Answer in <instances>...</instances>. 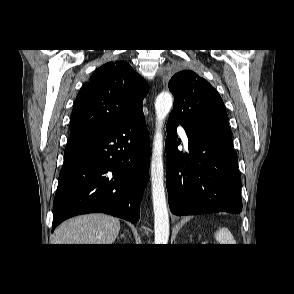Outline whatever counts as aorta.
I'll use <instances>...</instances> for the list:
<instances>
[{"label": "aorta", "instance_id": "obj_1", "mask_svg": "<svg viewBox=\"0 0 294 294\" xmlns=\"http://www.w3.org/2000/svg\"><path fill=\"white\" fill-rule=\"evenodd\" d=\"M173 105L172 95L168 92L160 93L155 100L156 131L153 141L151 157V186L154 209L155 244L165 245L169 239V215L164 188L163 166V121Z\"/></svg>", "mask_w": 294, "mask_h": 294}]
</instances>
